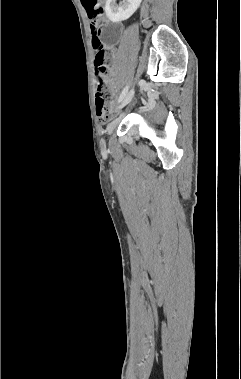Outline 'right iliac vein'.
<instances>
[{
  "label": "right iliac vein",
  "instance_id": "obj_1",
  "mask_svg": "<svg viewBox=\"0 0 241 379\" xmlns=\"http://www.w3.org/2000/svg\"><path fill=\"white\" fill-rule=\"evenodd\" d=\"M133 96H134V89H131L127 94H126V96L122 99V101H121V103H120V105H119V109H121V108H123V107H125L128 103H130V101L132 100V98H133ZM114 124L113 125H111L110 127H109V131H112L113 129H114Z\"/></svg>",
  "mask_w": 241,
  "mask_h": 379
}]
</instances>
